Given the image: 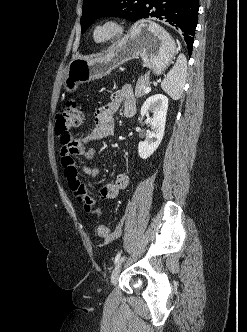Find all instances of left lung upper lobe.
Masks as SVG:
<instances>
[{"mask_svg": "<svg viewBox=\"0 0 247 332\" xmlns=\"http://www.w3.org/2000/svg\"><path fill=\"white\" fill-rule=\"evenodd\" d=\"M147 0H84L81 33L99 17L119 16L137 21Z\"/></svg>", "mask_w": 247, "mask_h": 332, "instance_id": "left-lung-upper-lobe-1", "label": "left lung upper lobe"}]
</instances>
